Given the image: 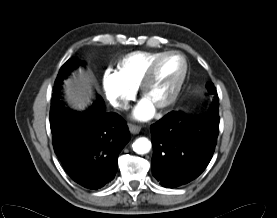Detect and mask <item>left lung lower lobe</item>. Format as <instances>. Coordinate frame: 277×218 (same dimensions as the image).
<instances>
[{"instance_id":"0a47b994","label":"left lung lower lobe","mask_w":277,"mask_h":218,"mask_svg":"<svg viewBox=\"0 0 277 218\" xmlns=\"http://www.w3.org/2000/svg\"><path fill=\"white\" fill-rule=\"evenodd\" d=\"M219 133V99L190 116L172 111L151 126L152 174L166 188L186 184L209 164Z\"/></svg>"}]
</instances>
